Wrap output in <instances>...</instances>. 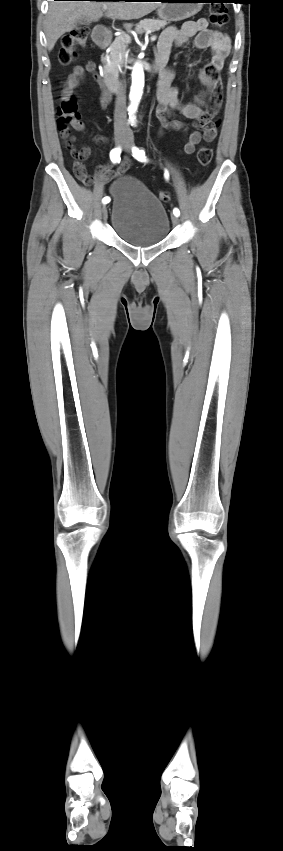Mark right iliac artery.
I'll use <instances>...</instances> for the list:
<instances>
[{"label":"right iliac artery","mask_w":283,"mask_h":851,"mask_svg":"<svg viewBox=\"0 0 283 851\" xmlns=\"http://www.w3.org/2000/svg\"><path fill=\"white\" fill-rule=\"evenodd\" d=\"M120 154H121V148L120 147L112 149L111 152H110L111 161L113 163H119L120 162ZM102 202L104 204L109 203L110 198L108 196H106V197L103 198Z\"/></svg>","instance_id":"82829eb1"}]
</instances>
